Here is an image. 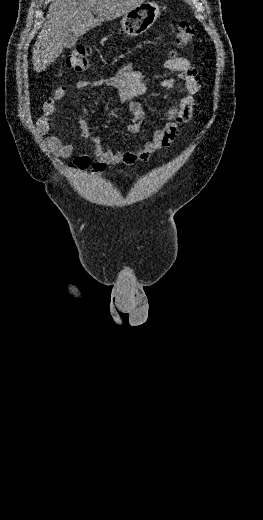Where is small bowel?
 Returning <instances> with one entry per match:
<instances>
[{"mask_svg":"<svg viewBox=\"0 0 263 520\" xmlns=\"http://www.w3.org/2000/svg\"><path fill=\"white\" fill-rule=\"evenodd\" d=\"M163 68L178 74V79L182 82L186 93L177 96V103L170 106L166 114V123L162 128L154 131L150 141L146 142L136 151H123L102 149L97 147L94 154H78L74 156L66 166L76 172H83L91 169L95 175L100 174L108 165H132L136 162H147L150 157L164 148L170 147L179 134V127L189 122L197 108L196 95L200 91V84L197 80V71L190 61L171 51L168 59L164 62ZM107 86L114 88L121 101L128 104L131 115L127 125V131L131 134L139 132L145 119L144 107L140 98L147 92V85L144 74L136 70L132 62L125 64L117 74L104 79L80 80L76 83L77 89L87 87ZM161 86L168 90L176 87L174 78L162 80ZM67 95V88L58 87L53 96L49 97L44 103V113L37 121L38 129L47 134L51 130L52 117L56 112L57 102L64 99ZM88 111L85 110L81 120L80 137L83 141H94V137L89 132L86 117ZM49 143L55 155L60 159L72 157L75 146L70 142H64L56 135L49 136ZM94 159V160H92Z\"/></svg>","mask_w":263,"mask_h":520,"instance_id":"c3829d8e","label":"small bowel"}]
</instances>
